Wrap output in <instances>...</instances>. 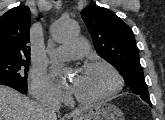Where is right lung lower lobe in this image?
Instances as JSON below:
<instances>
[{
	"label": "right lung lower lobe",
	"mask_w": 165,
	"mask_h": 120,
	"mask_svg": "<svg viewBox=\"0 0 165 120\" xmlns=\"http://www.w3.org/2000/svg\"><path fill=\"white\" fill-rule=\"evenodd\" d=\"M0 85H7V86H9V87H12V88L18 90L19 92H21V93H23V94H26V93H27V89L22 88V87L17 86V85H11V84H0Z\"/></svg>",
	"instance_id": "right-lung-lower-lobe-1"
}]
</instances>
